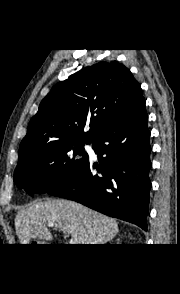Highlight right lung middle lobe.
Here are the masks:
<instances>
[{
  "mask_svg": "<svg viewBox=\"0 0 180 294\" xmlns=\"http://www.w3.org/2000/svg\"><path fill=\"white\" fill-rule=\"evenodd\" d=\"M85 143L90 142H71L38 150L18 162L14 182L30 195L50 192L67 182L88 161Z\"/></svg>",
  "mask_w": 180,
  "mask_h": 294,
  "instance_id": "right-lung-middle-lobe-1",
  "label": "right lung middle lobe"
}]
</instances>
